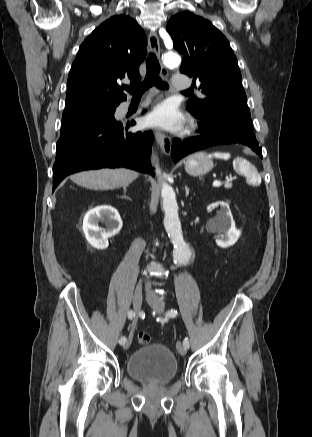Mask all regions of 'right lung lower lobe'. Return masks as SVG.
<instances>
[{"mask_svg":"<svg viewBox=\"0 0 312 437\" xmlns=\"http://www.w3.org/2000/svg\"><path fill=\"white\" fill-rule=\"evenodd\" d=\"M135 122L111 121L78 131L57 142L53 191L68 175L83 170L127 167L154 175L150 164L151 131L131 133Z\"/></svg>","mask_w":312,"mask_h":437,"instance_id":"obj_1","label":"right lung lower lobe"}]
</instances>
